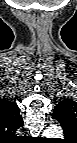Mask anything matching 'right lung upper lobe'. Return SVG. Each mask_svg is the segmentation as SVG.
Segmentation results:
<instances>
[{"label":"right lung upper lobe","instance_id":"cb5924a9","mask_svg":"<svg viewBox=\"0 0 77 143\" xmlns=\"http://www.w3.org/2000/svg\"><path fill=\"white\" fill-rule=\"evenodd\" d=\"M22 126L23 120L18 106L11 101L0 100V131L4 134L14 135Z\"/></svg>","mask_w":77,"mask_h":143}]
</instances>
